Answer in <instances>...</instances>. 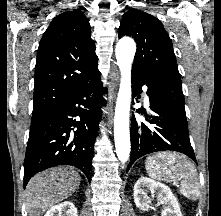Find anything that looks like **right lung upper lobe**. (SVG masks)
Instances as JSON below:
<instances>
[{"instance_id": "right-lung-upper-lobe-1", "label": "right lung upper lobe", "mask_w": 221, "mask_h": 216, "mask_svg": "<svg viewBox=\"0 0 221 216\" xmlns=\"http://www.w3.org/2000/svg\"><path fill=\"white\" fill-rule=\"evenodd\" d=\"M97 59L85 15L74 10L55 17L38 48L33 115L98 78Z\"/></svg>"}]
</instances>
